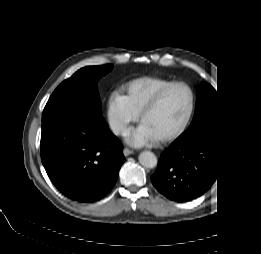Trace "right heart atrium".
I'll return each mask as SVG.
<instances>
[{
    "mask_svg": "<svg viewBox=\"0 0 261 254\" xmlns=\"http://www.w3.org/2000/svg\"><path fill=\"white\" fill-rule=\"evenodd\" d=\"M138 119V113L131 106L126 94L114 93L108 104V120L112 131L123 135L130 124Z\"/></svg>",
    "mask_w": 261,
    "mask_h": 254,
    "instance_id": "obj_1",
    "label": "right heart atrium"
}]
</instances>
